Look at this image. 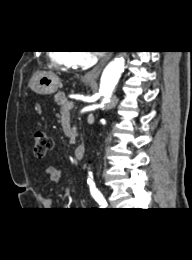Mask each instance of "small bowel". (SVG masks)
Segmentation results:
<instances>
[{
  "instance_id": "small-bowel-1",
  "label": "small bowel",
  "mask_w": 192,
  "mask_h": 260,
  "mask_svg": "<svg viewBox=\"0 0 192 260\" xmlns=\"http://www.w3.org/2000/svg\"><path fill=\"white\" fill-rule=\"evenodd\" d=\"M45 175L54 184H59L61 181V172L57 165L50 164L45 170ZM41 203L46 209H51L54 205V201L50 197L41 196Z\"/></svg>"
}]
</instances>
